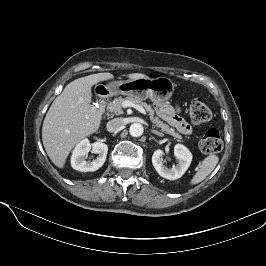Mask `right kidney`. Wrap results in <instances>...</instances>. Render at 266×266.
<instances>
[{
	"label": "right kidney",
	"mask_w": 266,
	"mask_h": 266,
	"mask_svg": "<svg viewBox=\"0 0 266 266\" xmlns=\"http://www.w3.org/2000/svg\"><path fill=\"white\" fill-rule=\"evenodd\" d=\"M92 151L97 154L93 161H86L87 154ZM108 152V146L102 142L90 144L87 138L81 140L73 150L71 156V166L81 172H93L104 164Z\"/></svg>",
	"instance_id": "right-kidney-1"
}]
</instances>
